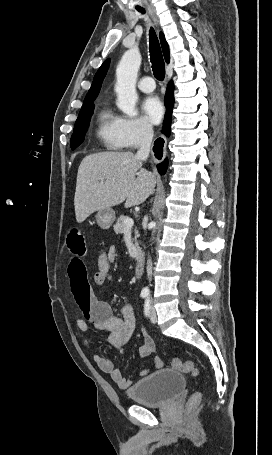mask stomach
<instances>
[{"mask_svg":"<svg viewBox=\"0 0 272 455\" xmlns=\"http://www.w3.org/2000/svg\"><path fill=\"white\" fill-rule=\"evenodd\" d=\"M96 220L102 229H109L115 220V212L111 208L99 210L96 214Z\"/></svg>","mask_w":272,"mask_h":455,"instance_id":"stomach-1","label":"stomach"}]
</instances>
